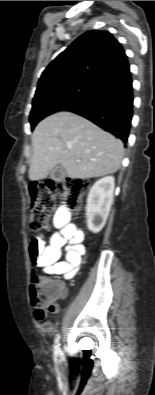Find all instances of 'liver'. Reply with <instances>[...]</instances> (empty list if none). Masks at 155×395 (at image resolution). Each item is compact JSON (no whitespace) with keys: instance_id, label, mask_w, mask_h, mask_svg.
<instances>
[{"instance_id":"6515ba94","label":"liver","mask_w":155,"mask_h":395,"mask_svg":"<svg viewBox=\"0 0 155 395\" xmlns=\"http://www.w3.org/2000/svg\"><path fill=\"white\" fill-rule=\"evenodd\" d=\"M32 143L28 172L32 181L46 178L59 164L72 179L113 174L124 155L119 139L71 112H58L39 122Z\"/></svg>"}]
</instances>
